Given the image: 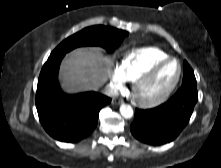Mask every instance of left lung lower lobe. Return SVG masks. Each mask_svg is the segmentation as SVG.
<instances>
[{
	"label": "left lung lower lobe",
	"instance_id": "1",
	"mask_svg": "<svg viewBox=\"0 0 221 168\" xmlns=\"http://www.w3.org/2000/svg\"><path fill=\"white\" fill-rule=\"evenodd\" d=\"M196 83L182 84L162 105L152 109H136L131 133L149 145H163L173 141L188 124L198 101Z\"/></svg>",
	"mask_w": 221,
	"mask_h": 168
}]
</instances>
